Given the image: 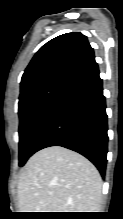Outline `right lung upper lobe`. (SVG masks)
<instances>
[{
    "instance_id": "right-lung-upper-lobe-1",
    "label": "right lung upper lobe",
    "mask_w": 123,
    "mask_h": 219,
    "mask_svg": "<svg viewBox=\"0 0 123 219\" xmlns=\"http://www.w3.org/2000/svg\"><path fill=\"white\" fill-rule=\"evenodd\" d=\"M95 63L94 51L86 36L72 32L55 37L38 50L26 68L20 96L51 81H69Z\"/></svg>"
}]
</instances>
